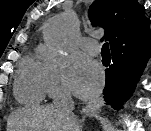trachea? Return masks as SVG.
<instances>
[{
	"label": "trachea",
	"mask_w": 151,
	"mask_h": 131,
	"mask_svg": "<svg viewBox=\"0 0 151 131\" xmlns=\"http://www.w3.org/2000/svg\"><path fill=\"white\" fill-rule=\"evenodd\" d=\"M101 55H102V60L103 61L110 62L111 54H110L109 44L108 43H105L103 45L102 50H101Z\"/></svg>",
	"instance_id": "obj_1"
}]
</instances>
